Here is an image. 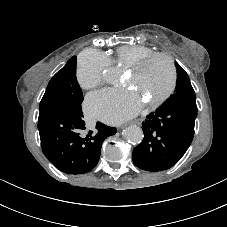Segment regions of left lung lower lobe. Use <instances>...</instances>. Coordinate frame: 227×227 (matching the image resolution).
Listing matches in <instances>:
<instances>
[{"mask_svg":"<svg viewBox=\"0 0 227 227\" xmlns=\"http://www.w3.org/2000/svg\"><path fill=\"white\" fill-rule=\"evenodd\" d=\"M197 106L175 102L160 106L142 123L144 139L133 149L135 166L163 171L185 154L194 136Z\"/></svg>","mask_w":227,"mask_h":227,"instance_id":"left-lung-lower-lobe-1","label":"left lung lower lobe"}]
</instances>
